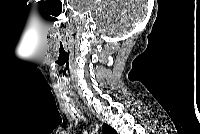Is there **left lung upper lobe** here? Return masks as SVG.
Here are the masks:
<instances>
[{
    "label": "left lung upper lobe",
    "instance_id": "obj_1",
    "mask_svg": "<svg viewBox=\"0 0 200 134\" xmlns=\"http://www.w3.org/2000/svg\"><path fill=\"white\" fill-rule=\"evenodd\" d=\"M102 131L104 134H116V131L107 124L102 126Z\"/></svg>",
    "mask_w": 200,
    "mask_h": 134
}]
</instances>
